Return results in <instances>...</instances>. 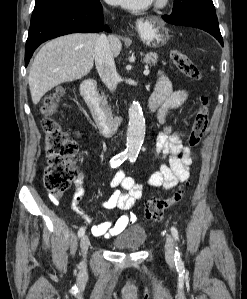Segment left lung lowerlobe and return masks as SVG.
<instances>
[{
  "label": "left lung lower lobe",
  "instance_id": "1",
  "mask_svg": "<svg viewBox=\"0 0 247 299\" xmlns=\"http://www.w3.org/2000/svg\"><path fill=\"white\" fill-rule=\"evenodd\" d=\"M162 18L170 24L202 29L214 36L223 45L216 12L190 6L170 15H164Z\"/></svg>",
  "mask_w": 247,
  "mask_h": 299
}]
</instances>
